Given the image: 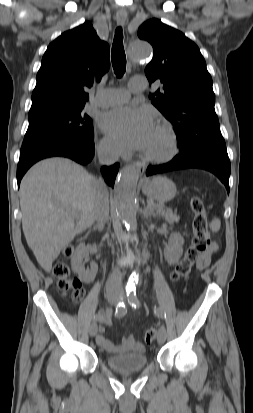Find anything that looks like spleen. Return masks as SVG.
Instances as JSON below:
<instances>
[{"mask_svg": "<svg viewBox=\"0 0 253 413\" xmlns=\"http://www.w3.org/2000/svg\"><path fill=\"white\" fill-rule=\"evenodd\" d=\"M221 222L218 218H214L210 223L212 232H217L220 229Z\"/></svg>", "mask_w": 253, "mask_h": 413, "instance_id": "spleen-1", "label": "spleen"}]
</instances>
